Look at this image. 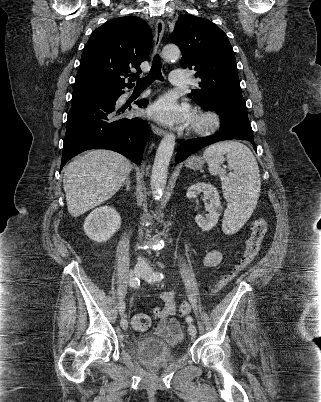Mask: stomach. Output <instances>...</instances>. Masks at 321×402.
Instances as JSON below:
<instances>
[{
  "instance_id": "0dacf381",
  "label": "stomach",
  "mask_w": 321,
  "mask_h": 402,
  "mask_svg": "<svg viewBox=\"0 0 321 402\" xmlns=\"http://www.w3.org/2000/svg\"><path fill=\"white\" fill-rule=\"evenodd\" d=\"M204 165L202 157L193 156L187 161V166L192 169H201Z\"/></svg>"
}]
</instances>
